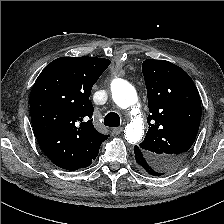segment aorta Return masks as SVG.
Returning a JSON list of instances; mask_svg holds the SVG:
<instances>
[{
  "mask_svg": "<svg viewBox=\"0 0 224 224\" xmlns=\"http://www.w3.org/2000/svg\"><path fill=\"white\" fill-rule=\"evenodd\" d=\"M111 92L113 101L122 109L132 107L137 102L135 88L125 80H113L111 83ZM124 133L127 142L131 144L137 143L142 139L144 134L142 122L134 120L127 124Z\"/></svg>",
  "mask_w": 224,
  "mask_h": 224,
  "instance_id": "1",
  "label": "aorta"
}]
</instances>
